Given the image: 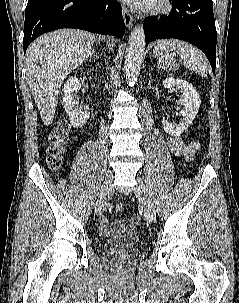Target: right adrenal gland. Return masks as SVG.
Segmentation results:
<instances>
[{
    "label": "right adrenal gland",
    "instance_id": "1",
    "mask_svg": "<svg viewBox=\"0 0 239 303\" xmlns=\"http://www.w3.org/2000/svg\"><path fill=\"white\" fill-rule=\"evenodd\" d=\"M97 52H96V49H95V46L93 47V49H92V51H91V53H90V58L92 57V55H94V56H96L97 57Z\"/></svg>",
    "mask_w": 239,
    "mask_h": 303
}]
</instances>
